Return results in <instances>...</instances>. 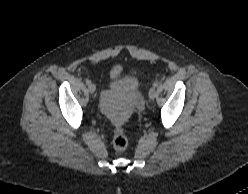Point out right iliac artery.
Wrapping results in <instances>:
<instances>
[{
  "instance_id": "obj_1",
  "label": "right iliac artery",
  "mask_w": 248,
  "mask_h": 194,
  "mask_svg": "<svg viewBox=\"0 0 248 194\" xmlns=\"http://www.w3.org/2000/svg\"><path fill=\"white\" fill-rule=\"evenodd\" d=\"M85 82H86L87 85L91 84V81L89 79H86Z\"/></svg>"
}]
</instances>
